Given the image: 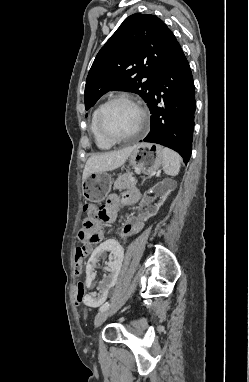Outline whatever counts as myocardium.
Segmentation results:
<instances>
[{"instance_id":"myocardium-1","label":"myocardium","mask_w":249,"mask_h":382,"mask_svg":"<svg viewBox=\"0 0 249 382\" xmlns=\"http://www.w3.org/2000/svg\"><path fill=\"white\" fill-rule=\"evenodd\" d=\"M115 102H128L135 106V108L138 110L140 114V122L136 129V131L128 136L125 137H113L111 136L104 128L103 125V117L106 109ZM149 123V117L146 110L143 108V106L133 97L128 95H116L111 98H109L107 101H105L99 108L98 115H97V127L99 130L100 135L108 142L115 144V143H121L130 141L133 139H136L143 131H145L148 127Z\"/></svg>"}]
</instances>
